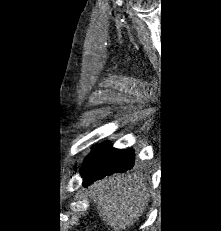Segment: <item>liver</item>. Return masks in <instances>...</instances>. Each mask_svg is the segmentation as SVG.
Wrapping results in <instances>:
<instances>
[{
	"instance_id": "obj_1",
	"label": "liver",
	"mask_w": 221,
	"mask_h": 231,
	"mask_svg": "<svg viewBox=\"0 0 221 231\" xmlns=\"http://www.w3.org/2000/svg\"><path fill=\"white\" fill-rule=\"evenodd\" d=\"M151 189L134 174H116L90 187L98 213L114 231L132 226L145 211Z\"/></svg>"
}]
</instances>
